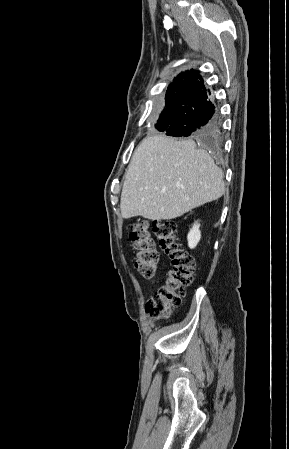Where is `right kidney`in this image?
<instances>
[{"label": "right kidney", "mask_w": 289, "mask_h": 449, "mask_svg": "<svg viewBox=\"0 0 289 449\" xmlns=\"http://www.w3.org/2000/svg\"><path fill=\"white\" fill-rule=\"evenodd\" d=\"M200 224L198 222H195L192 229H190L187 240H188V246L189 248L193 249L197 246L198 242L201 238V232L199 230Z\"/></svg>", "instance_id": "1"}]
</instances>
